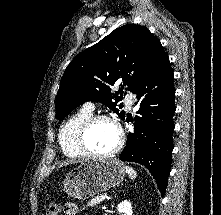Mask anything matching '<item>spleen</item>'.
I'll return each instance as SVG.
<instances>
[{
    "label": "spleen",
    "instance_id": "1",
    "mask_svg": "<svg viewBox=\"0 0 221 215\" xmlns=\"http://www.w3.org/2000/svg\"><path fill=\"white\" fill-rule=\"evenodd\" d=\"M125 168H126V172L129 175V178L134 179L137 176L136 171L132 167L126 166Z\"/></svg>",
    "mask_w": 221,
    "mask_h": 215
}]
</instances>
